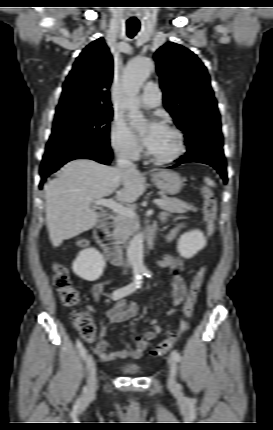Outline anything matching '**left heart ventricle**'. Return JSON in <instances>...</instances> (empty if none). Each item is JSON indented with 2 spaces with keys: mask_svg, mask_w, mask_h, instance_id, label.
<instances>
[{
  "mask_svg": "<svg viewBox=\"0 0 273 430\" xmlns=\"http://www.w3.org/2000/svg\"><path fill=\"white\" fill-rule=\"evenodd\" d=\"M176 146L177 140L175 135L164 128L155 146L150 149V152L157 157H167L175 152Z\"/></svg>",
  "mask_w": 273,
  "mask_h": 430,
  "instance_id": "1",
  "label": "left heart ventricle"
}]
</instances>
